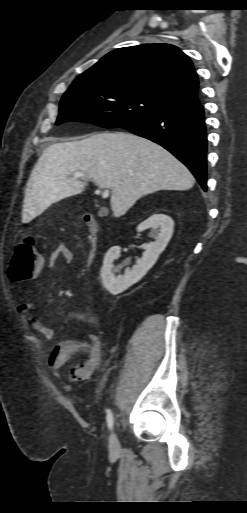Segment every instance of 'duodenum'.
Masks as SVG:
<instances>
[{"label":"duodenum","mask_w":247,"mask_h":513,"mask_svg":"<svg viewBox=\"0 0 247 513\" xmlns=\"http://www.w3.org/2000/svg\"><path fill=\"white\" fill-rule=\"evenodd\" d=\"M83 222L88 234L89 257L93 261L97 253L98 223L92 214H85L83 216Z\"/></svg>","instance_id":"obj_1"}]
</instances>
